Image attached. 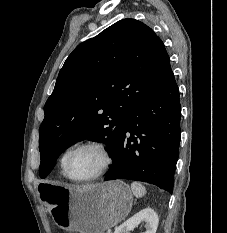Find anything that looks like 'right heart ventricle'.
Instances as JSON below:
<instances>
[{
  "label": "right heart ventricle",
  "mask_w": 227,
  "mask_h": 233,
  "mask_svg": "<svg viewBox=\"0 0 227 233\" xmlns=\"http://www.w3.org/2000/svg\"><path fill=\"white\" fill-rule=\"evenodd\" d=\"M69 150H70V149H67V150L62 154V156H61V158H60V172H61V175H62L63 177H65V173H64V161H65V157H66V155H67V153H68Z\"/></svg>",
  "instance_id": "1"
}]
</instances>
